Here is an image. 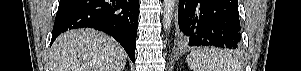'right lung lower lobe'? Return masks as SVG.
<instances>
[{
  "label": "right lung lower lobe",
  "instance_id": "1",
  "mask_svg": "<svg viewBox=\"0 0 301 71\" xmlns=\"http://www.w3.org/2000/svg\"><path fill=\"white\" fill-rule=\"evenodd\" d=\"M139 0H60L51 42L69 29L94 28L116 39L135 61Z\"/></svg>",
  "mask_w": 301,
  "mask_h": 71
}]
</instances>
